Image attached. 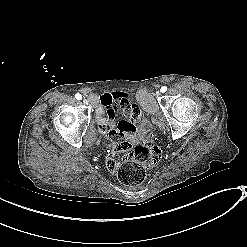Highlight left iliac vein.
<instances>
[{
	"instance_id": "obj_1",
	"label": "left iliac vein",
	"mask_w": 247,
	"mask_h": 247,
	"mask_svg": "<svg viewBox=\"0 0 247 247\" xmlns=\"http://www.w3.org/2000/svg\"><path fill=\"white\" fill-rule=\"evenodd\" d=\"M160 94L161 93L159 91H157L156 94H155V96L158 97V96H160Z\"/></svg>"
}]
</instances>
